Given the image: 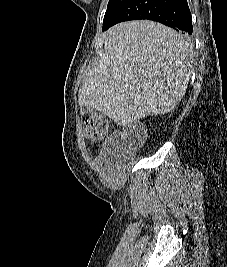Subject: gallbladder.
<instances>
[{"instance_id":"obj_1","label":"gallbladder","mask_w":227,"mask_h":267,"mask_svg":"<svg viewBox=\"0 0 227 267\" xmlns=\"http://www.w3.org/2000/svg\"><path fill=\"white\" fill-rule=\"evenodd\" d=\"M81 110H82V112H83L84 114H88V113L93 112V109H92L91 107H89V106H85V105L81 106Z\"/></svg>"}]
</instances>
